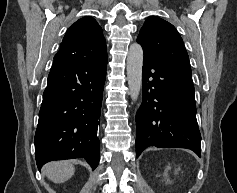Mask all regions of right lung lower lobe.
<instances>
[{"instance_id":"1","label":"right lung lower lobe","mask_w":237,"mask_h":193,"mask_svg":"<svg viewBox=\"0 0 237 193\" xmlns=\"http://www.w3.org/2000/svg\"><path fill=\"white\" fill-rule=\"evenodd\" d=\"M106 67L107 56L82 61L55 55L34 139L38 169L52 160L81 157L97 167Z\"/></svg>"}]
</instances>
